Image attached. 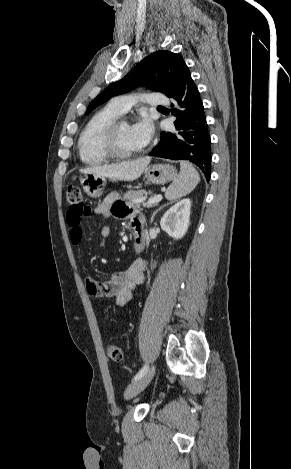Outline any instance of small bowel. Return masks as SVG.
Returning a JSON list of instances; mask_svg holds the SVG:
<instances>
[{
	"label": "small bowel",
	"mask_w": 291,
	"mask_h": 469,
	"mask_svg": "<svg viewBox=\"0 0 291 469\" xmlns=\"http://www.w3.org/2000/svg\"><path fill=\"white\" fill-rule=\"evenodd\" d=\"M95 214L104 218H130L133 228H144V218L135 210L127 207L120 199L118 194H109L105 200L95 208ZM77 210L71 208L67 211V224L70 228V240L74 245H79L82 241L81 219ZM110 233V228L104 226L101 234L105 239ZM147 263L143 258L134 260L124 271L114 272L110 279L105 282H99L91 276L85 278V284L88 292L98 298H114L118 306L123 307L132 298L133 290L144 281V272Z\"/></svg>",
	"instance_id": "small-bowel-1"
}]
</instances>
